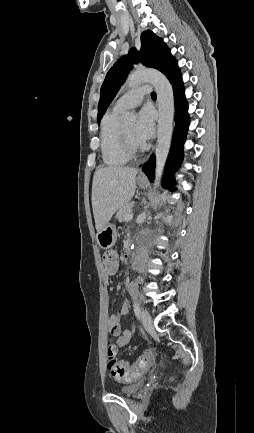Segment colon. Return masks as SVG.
I'll list each match as a JSON object with an SVG mask.
<instances>
[{"label":"colon","instance_id":"5ec220e1","mask_svg":"<svg viewBox=\"0 0 254 433\" xmlns=\"http://www.w3.org/2000/svg\"><path fill=\"white\" fill-rule=\"evenodd\" d=\"M102 262L106 273L114 274L118 266V254L114 250L105 251L102 255ZM117 346L109 344L107 348V369L112 377L119 382H132L142 376V374L152 364V356L149 352L141 354L138 360L132 364L117 359Z\"/></svg>","mask_w":254,"mask_h":433}]
</instances>
